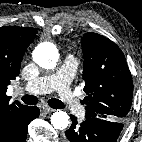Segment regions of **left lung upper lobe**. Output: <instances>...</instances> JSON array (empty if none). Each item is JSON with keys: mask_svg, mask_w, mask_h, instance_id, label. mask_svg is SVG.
<instances>
[{"mask_svg": "<svg viewBox=\"0 0 142 142\" xmlns=\"http://www.w3.org/2000/svg\"><path fill=\"white\" fill-rule=\"evenodd\" d=\"M86 119L123 122L131 108L133 81L125 56L108 38L86 33L82 39Z\"/></svg>", "mask_w": 142, "mask_h": 142, "instance_id": "obj_1", "label": "left lung upper lobe"}]
</instances>
